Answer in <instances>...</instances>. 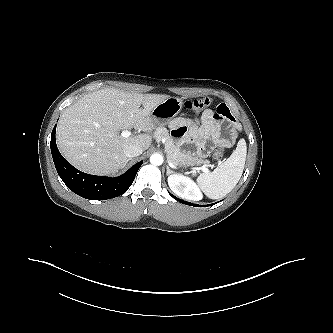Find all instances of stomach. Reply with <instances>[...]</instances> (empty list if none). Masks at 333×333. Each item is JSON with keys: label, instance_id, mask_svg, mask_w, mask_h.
Segmentation results:
<instances>
[{"label": "stomach", "instance_id": "obj_1", "mask_svg": "<svg viewBox=\"0 0 333 333\" xmlns=\"http://www.w3.org/2000/svg\"><path fill=\"white\" fill-rule=\"evenodd\" d=\"M183 100L178 97H167L161 103L156 105L151 111V118L154 123L168 124L182 109ZM179 166L188 169L195 166L193 163H179Z\"/></svg>", "mask_w": 333, "mask_h": 333}]
</instances>
